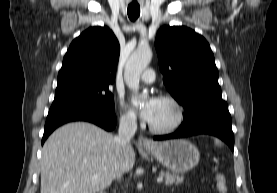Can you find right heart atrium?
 Instances as JSON below:
<instances>
[{"label": "right heart atrium", "mask_w": 277, "mask_h": 193, "mask_svg": "<svg viewBox=\"0 0 277 193\" xmlns=\"http://www.w3.org/2000/svg\"><path fill=\"white\" fill-rule=\"evenodd\" d=\"M120 121L122 124L127 126H132L136 123L135 113L126 108L123 104L120 106Z\"/></svg>", "instance_id": "obj_1"}]
</instances>
